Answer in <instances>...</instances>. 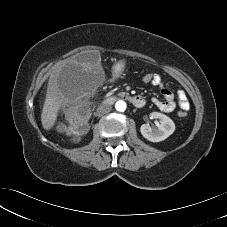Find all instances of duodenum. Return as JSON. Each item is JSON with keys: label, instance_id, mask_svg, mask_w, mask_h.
Listing matches in <instances>:
<instances>
[{"label": "duodenum", "instance_id": "410a0bca", "mask_svg": "<svg viewBox=\"0 0 227 227\" xmlns=\"http://www.w3.org/2000/svg\"><path fill=\"white\" fill-rule=\"evenodd\" d=\"M120 98H124L126 100H128L133 106L137 107V108H142L145 105V100L144 98H142L141 96H137V95H129V94H120L119 95ZM116 97H111L108 98L105 103L106 104H112L116 101Z\"/></svg>", "mask_w": 227, "mask_h": 227}]
</instances>
